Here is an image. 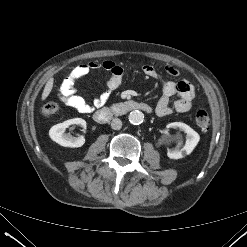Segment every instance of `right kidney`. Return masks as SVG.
<instances>
[{
  "instance_id": "obj_1",
  "label": "right kidney",
  "mask_w": 247,
  "mask_h": 247,
  "mask_svg": "<svg viewBox=\"0 0 247 247\" xmlns=\"http://www.w3.org/2000/svg\"><path fill=\"white\" fill-rule=\"evenodd\" d=\"M75 124L86 129V121L84 119L73 118L52 126L49 130L50 138L63 147H81L85 143V138L83 136L73 137L70 134H64L66 128Z\"/></svg>"
}]
</instances>
